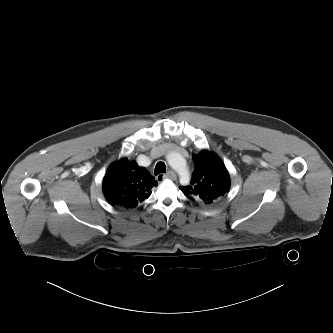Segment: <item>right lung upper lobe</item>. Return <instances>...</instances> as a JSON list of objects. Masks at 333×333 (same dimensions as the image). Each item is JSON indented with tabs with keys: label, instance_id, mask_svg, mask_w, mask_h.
I'll return each mask as SVG.
<instances>
[{
	"label": "right lung upper lobe",
	"instance_id": "obj_1",
	"mask_svg": "<svg viewBox=\"0 0 333 333\" xmlns=\"http://www.w3.org/2000/svg\"><path fill=\"white\" fill-rule=\"evenodd\" d=\"M157 185L144 167L122 158L108 168L103 179V193L110 204L128 209L147 199Z\"/></svg>",
	"mask_w": 333,
	"mask_h": 333
}]
</instances>
